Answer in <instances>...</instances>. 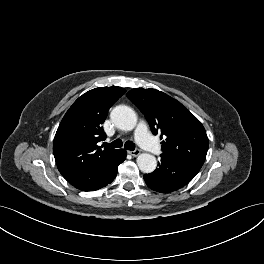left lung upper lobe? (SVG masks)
I'll return each mask as SVG.
<instances>
[{"label": "left lung upper lobe", "instance_id": "5c2ea615", "mask_svg": "<svg viewBox=\"0 0 264 264\" xmlns=\"http://www.w3.org/2000/svg\"><path fill=\"white\" fill-rule=\"evenodd\" d=\"M127 97L145 115L152 132L161 133L162 155L202 167L208 151V137L203 125L187 108L155 89L135 88Z\"/></svg>", "mask_w": 264, "mask_h": 264}]
</instances>
